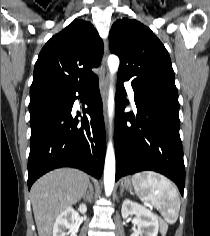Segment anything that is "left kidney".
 I'll return each instance as SVG.
<instances>
[{
	"mask_svg": "<svg viewBox=\"0 0 210 236\" xmlns=\"http://www.w3.org/2000/svg\"><path fill=\"white\" fill-rule=\"evenodd\" d=\"M121 213L123 218L136 215L137 230L131 236H143V234L157 236L159 229L158 216L146 207L126 199L122 204Z\"/></svg>",
	"mask_w": 210,
	"mask_h": 236,
	"instance_id": "obj_1",
	"label": "left kidney"
}]
</instances>
